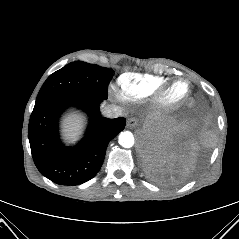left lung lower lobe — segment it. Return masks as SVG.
<instances>
[{
	"label": "left lung lower lobe",
	"instance_id": "1",
	"mask_svg": "<svg viewBox=\"0 0 239 239\" xmlns=\"http://www.w3.org/2000/svg\"><path fill=\"white\" fill-rule=\"evenodd\" d=\"M207 111L196 104L179 117L177 124L147 136L141 152L147 176L162 184L185 181L204 159L200 141L207 138Z\"/></svg>",
	"mask_w": 239,
	"mask_h": 239
}]
</instances>
